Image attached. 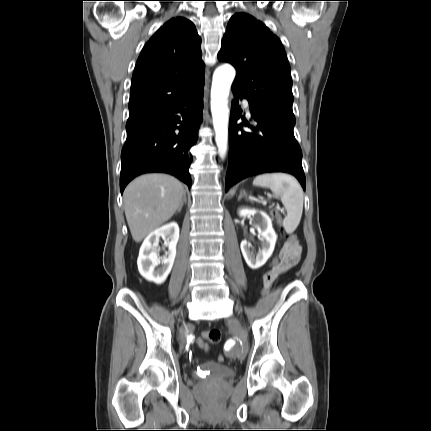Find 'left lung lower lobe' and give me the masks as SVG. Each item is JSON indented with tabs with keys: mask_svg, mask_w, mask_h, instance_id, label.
<instances>
[{
	"mask_svg": "<svg viewBox=\"0 0 431 431\" xmlns=\"http://www.w3.org/2000/svg\"><path fill=\"white\" fill-rule=\"evenodd\" d=\"M237 98H245L232 89ZM254 125L236 124L237 101L232 102L229 130V165L225 190L240 180L260 173L293 174L305 190L302 152L293 133L295 118L274 109L249 103ZM241 110H239V113ZM248 126L252 132L240 128Z\"/></svg>",
	"mask_w": 431,
	"mask_h": 431,
	"instance_id": "0a47b994",
	"label": "left lung lower lobe"
}]
</instances>
